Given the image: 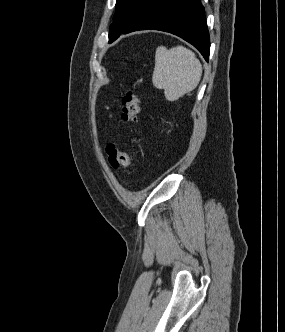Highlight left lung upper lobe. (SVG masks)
<instances>
[{
	"label": "left lung upper lobe",
	"instance_id": "1",
	"mask_svg": "<svg viewBox=\"0 0 285 332\" xmlns=\"http://www.w3.org/2000/svg\"><path fill=\"white\" fill-rule=\"evenodd\" d=\"M152 0H117L116 12L110 26L109 42L126 29Z\"/></svg>",
	"mask_w": 285,
	"mask_h": 332
}]
</instances>
